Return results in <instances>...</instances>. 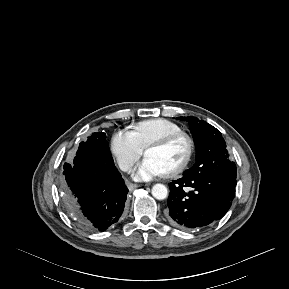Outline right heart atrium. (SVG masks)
<instances>
[{
    "instance_id": "1",
    "label": "right heart atrium",
    "mask_w": 289,
    "mask_h": 289,
    "mask_svg": "<svg viewBox=\"0 0 289 289\" xmlns=\"http://www.w3.org/2000/svg\"><path fill=\"white\" fill-rule=\"evenodd\" d=\"M110 147L124 171H130L143 153V148L138 143L135 134L128 129L115 132L111 138Z\"/></svg>"
}]
</instances>
